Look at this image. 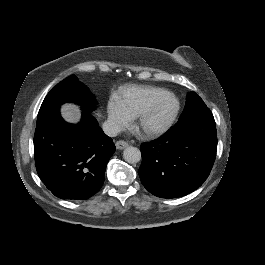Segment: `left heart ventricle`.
Wrapping results in <instances>:
<instances>
[{"mask_svg": "<svg viewBox=\"0 0 265 265\" xmlns=\"http://www.w3.org/2000/svg\"><path fill=\"white\" fill-rule=\"evenodd\" d=\"M176 107L175 100L168 94H160L156 97L149 113L143 121H139L140 127L150 126L168 116Z\"/></svg>", "mask_w": 265, "mask_h": 265, "instance_id": "b2bd125f", "label": "left heart ventricle"}]
</instances>
